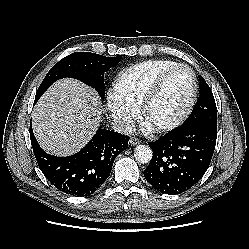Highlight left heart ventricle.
<instances>
[{"label": "left heart ventricle", "mask_w": 249, "mask_h": 249, "mask_svg": "<svg viewBox=\"0 0 249 249\" xmlns=\"http://www.w3.org/2000/svg\"><path fill=\"white\" fill-rule=\"evenodd\" d=\"M190 87L191 76L186 69H179L171 74L150 106L146 122L156 127L173 120L185 106Z\"/></svg>", "instance_id": "1"}]
</instances>
